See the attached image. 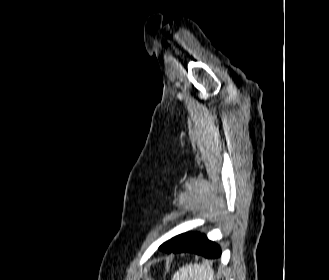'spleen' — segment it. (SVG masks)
<instances>
[{
  "instance_id": "1",
  "label": "spleen",
  "mask_w": 329,
  "mask_h": 280,
  "mask_svg": "<svg viewBox=\"0 0 329 280\" xmlns=\"http://www.w3.org/2000/svg\"><path fill=\"white\" fill-rule=\"evenodd\" d=\"M172 280H215V276L208 263H195L179 268L172 276Z\"/></svg>"
}]
</instances>
